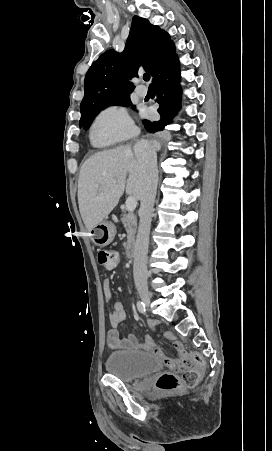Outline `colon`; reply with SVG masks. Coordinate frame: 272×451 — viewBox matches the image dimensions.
Segmentation results:
<instances>
[{"instance_id":"1","label":"colon","mask_w":272,"mask_h":451,"mask_svg":"<svg viewBox=\"0 0 272 451\" xmlns=\"http://www.w3.org/2000/svg\"><path fill=\"white\" fill-rule=\"evenodd\" d=\"M97 261L103 267L118 265L120 255L117 252L100 251L96 256ZM165 366L171 367V371L163 372L156 380V387L160 391L171 392L179 389L181 383L191 387L198 381V374H204L205 359L195 358L194 354L180 352L176 358H166ZM178 374H182V380Z\"/></svg>"}]
</instances>
